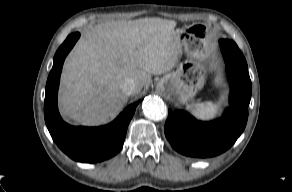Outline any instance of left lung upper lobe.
<instances>
[{
	"mask_svg": "<svg viewBox=\"0 0 292 192\" xmlns=\"http://www.w3.org/2000/svg\"><path fill=\"white\" fill-rule=\"evenodd\" d=\"M223 41H226L228 43H234V41H232V40H223Z\"/></svg>",
	"mask_w": 292,
	"mask_h": 192,
	"instance_id": "left-lung-upper-lobe-1",
	"label": "left lung upper lobe"
}]
</instances>
